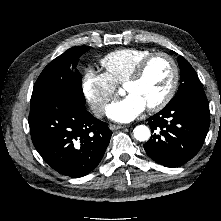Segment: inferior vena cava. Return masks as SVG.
Returning a JSON list of instances; mask_svg holds the SVG:
<instances>
[{
	"label": "inferior vena cava",
	"mask_w": 221,
	"mask_h": 221,
	"mask_svg": "<svg viewBox=\"0 0 221 221\" xmlns=\"http://www.w3.org/2000/svg\"><path fill=\"white\" fill-rule=\"evenodd\" d=\"M104 111L103 105L97 104L93 107V112L96 116H100Z\"/></svg>",
	"instance_id": "1"
}]
</instances>
